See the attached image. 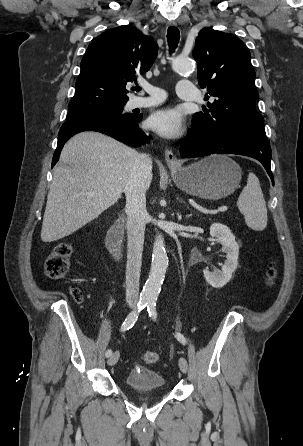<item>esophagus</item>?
<instances>
[{
  "mask_svg": "<svg viewBox=\"0 0 303 446\" xmlns=\"http://www.w3.org/2000/svg\"><path fill=\"white\" fill-rule=\"evenodd\" d=\"M168 26L175 27V26H177V23L175 21H170L168 23ZM165 160L169 167L179 166V161H178L177 157L175 156V154L172 152V150L168 149L165 151Z\"/></svg>",
  "mask_w": 303,
  "mask_h": 446,
  "instance_id": "34e87169",
  "label": "esophagus"
}]
</instances>
